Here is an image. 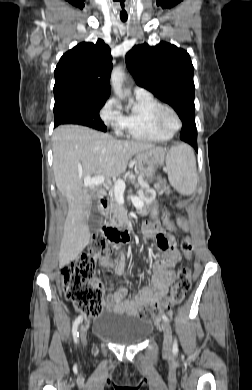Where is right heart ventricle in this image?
<instances>
[{"label":"right heart ventricle","instance_id":"1","mask_svg":"<svg viewBox=\"0 0 252 390\" xmlns=\"http://www.w3.org/2000/svg\"><path fill=\"white\" fill-rule=\"evenodd\" d=\"M161 103L152 95L134 96L127 113L123 115L122 129L118 134L126 138L143 142H164L172 137L171 133L159 130L153 122V113Z\"/></svg>","mask_w":252,"mask_h":390}]
</instances>
